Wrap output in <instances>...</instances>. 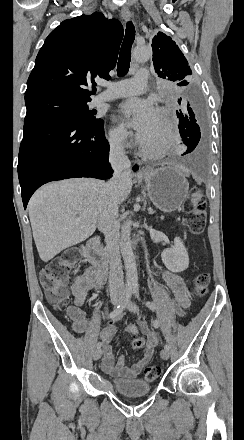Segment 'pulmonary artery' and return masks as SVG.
<instances>
[{
    "instance_id": "e3ab8cb5",
    "label": "pulmonary artery",
    "mask_w": 244,
    "mask_h": 440,
    "mask_svg": "<svg viewBox=\"0 0 244 440\" xmlns=\"http://www.w3.org/2000/svg\"><path fill=\"white\" fill-rule=\"evenodd\" d=\"M147 76L146 69H137L136 75H128L127 82H113L110 84L109 92H102L95 97V102H103L124 98L128 96H137L142 90V83Z\"/></svg>"
}]
</instances>
